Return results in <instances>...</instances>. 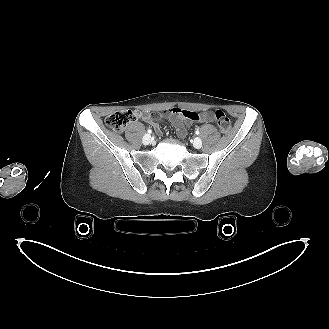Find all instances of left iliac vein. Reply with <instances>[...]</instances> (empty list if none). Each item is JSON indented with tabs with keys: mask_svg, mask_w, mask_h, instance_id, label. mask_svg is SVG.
<instances>
[{
	"mask_svg": "<svg viewBox=\"0 0 329 329\" xmlns=\"http://www.w3.org/2000/svg\"><path fill=\"white\" fill-rule=\"evenodd\" d=\"M193 146L196 148V149H199L202 147V140L200 138H195L194 141H193Z\"/></svg>",
	"mask_w": 329,
	"mask_h": 329,
	"instance_id": "4c4485c4",
	"label": "left iliac vein"
}]
</instances>
